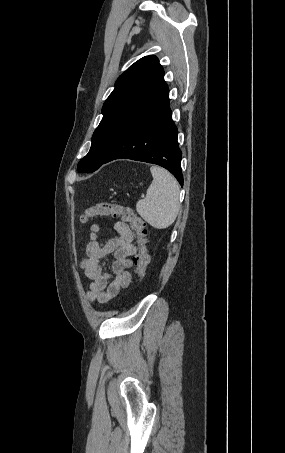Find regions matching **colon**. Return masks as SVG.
<instances>
[{
    "label": "colon",
    "instance_id": "obj_1",
    "mask_svg": "<svg viewBox=\"0 0 285 453\" xmlns=\"http://www.w3.org/2000/svg\"><path fill=\"white\" fill-rule=\"evenodd\" d=\"M96 216L120 217L130 223L138 244V253L133 258L135 275L137 279L142 280L150 263V256L146 246L147 229L145 222L135 214L131 207L112 202H100L86 208L80 220L82 223H86Z\"/></svg>",
    "mask_w": 285,
    "mask_h": 453
}]
</instances>
